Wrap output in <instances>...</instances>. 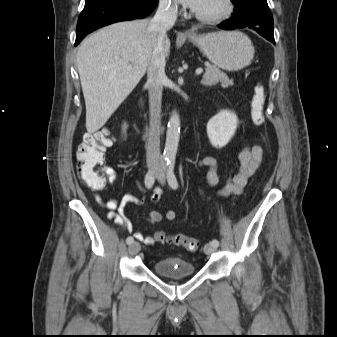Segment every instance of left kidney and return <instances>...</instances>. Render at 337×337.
I'll list each match as a JSON object with an SVG mask.
<instances>
[{"mask_svg": "<svg viewBox=\"0 0 337 337\" xmlns=\"http://www.w3.org/2000/svg\"><path fill=\"white\" fill-rule=\"evenodd\" d=\"M237 125L238 119L233 112L220 111L207 123V135L210 143L216 148L224 147L234 136Z\"/></svg>", "mask_w": 337, "mask_h": 337, "instance_id": "left-kidney-1", "label": "left kidney"}]
</instances>
